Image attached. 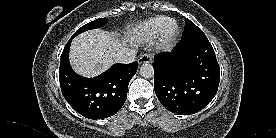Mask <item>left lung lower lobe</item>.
<instances>
[{
  "instance_id": "0a47b994",
  "label": "left lung lower lobe",
  "mask_w": 276,
  "mask_h": 138,
  "mask_svg": "<svg viewBox=\"0 0 276 138\" xmlns=\"http://www.w3.org/2000/svg\"><path fill=\"white\" fill-rule=\"evenodd\" d=\"M154 59V90L170 112L194 114L214 98L220 67L206 36L182 39L172 52Z\"/></svg>"
}]
</instances>
